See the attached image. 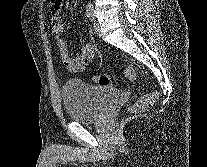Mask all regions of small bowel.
Returning a JSON list of instances; mask_svg holds the SVG:
<instances>
[{"instance_id":"c3829d8e","label":"small bowel","mask_w":207,"mask_h":167,"mask_svg":"<svg viewBox=\"0 0 207 167\" xmlns=\"http://www.w3.org/2000/svg\"><path fill=\"white\" fill-rule=\"evenodd\" d=\"M51 4L55 10L51 18V27L54 36L58 42V48L63 65L67 71L79 73L85 70L90 63L95 48L92 43H85L80 47L76 54H70L65 40L62 38L64 32V22L61 14L62 0H51Z\"/></svg>"}]
</instances>
